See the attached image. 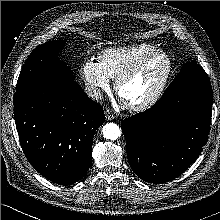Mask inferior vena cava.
<instances>
[{
  "label": "inferior vena cava",
  "instance_id": "inferior-vena-cava-1",
  "mask_svg": "<svg viewBox=\"0 0 220 220\" xmlns=\"http://www.w3.org/2000/svg\"><path fill=\"white\" fill-rule=\"evenodd\" d=\"M84 91L93 100L98 101L103 98L101 90L93 85H86Z\"/></svg>",
  "mask_w": 220,
  "mask_h": 220
}]
</instances>
